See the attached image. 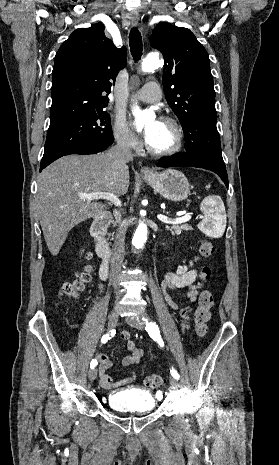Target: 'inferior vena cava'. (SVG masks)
Returning <instances> with one entry per match:
<instances>
[{
	"instance_id": "602c4592",
	"label": "inferior vena cava",
	"mask_w": 279,
	"mask_h": 465,
	"mask_svg": "<svg viewBox=\"0 0 279 465\" xmlns=\"http://www.w3.org/2000/svg\"><path fill=\"white\" fill-rule=\"evenodd\" d=\"M108 159L112 161L114 166H123L126 162L133 160V154L131 152L128 141L125 138H119L117 144L111 147L106 153ZM117 232L114 242V254L111 259V275L116 278L120 275L121 266L124 259L125 252V233L126 228L121 220V215L116 212L115 214ZM116 287V286H115ZM120 295L119 292H116Z\"/></svg>"
}]
</instances>
